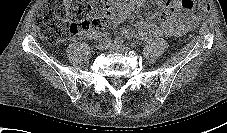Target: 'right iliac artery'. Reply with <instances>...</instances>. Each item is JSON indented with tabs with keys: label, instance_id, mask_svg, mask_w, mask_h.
I'll list each match as a JSON object with an SVG mask.
<instances>
[{
	"label": "right iliac artery",
	"instance_id": "right-iliac-artery-1",
	"mask_svg": "<svg viewBox=\"0 0 227 133\" xmlns=\"http://www.w3.org/2000/svg\"><path fill=\"white\" fill-rule=\"evenodd\" d=\"M103 41H105L107 44H110L111 39L109 37L105 36Z\"/></svg>",
	"mask_w": 227,
	"mask_h": 133
}]
</instances>
